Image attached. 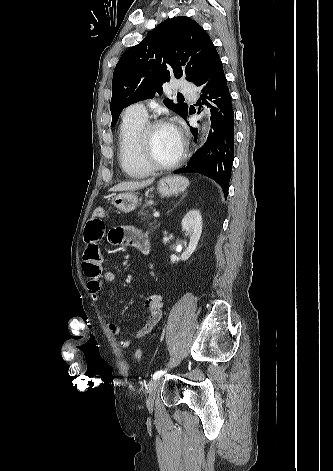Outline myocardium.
Returning <instances> with one entry per match:
<instances>
[{
  "label": "myocardium",
  "instance_id": "1",
  "mask_svg": "<svg viewBox=\"0 0 333 471\" xmlns=\"http://www.w3.org/2000/svg\"><path fill=\"white\" fill-rule=\"evenodd\" d=\"M162 126H171L168 122L163 120H155L147 123L143 130L140 133L138 146L142 159L144 162L153 169V171L158 170H171L176 168L184 160L186 156V145L184 142L181 144L180 151L176 158L169 163L159 162L152 154L150 148V136L158 128ZM172 127V126H171Z\"/></svg>",
  "mask_w": 333,
  "mask_h": 471
}]
</instances>
